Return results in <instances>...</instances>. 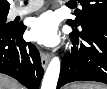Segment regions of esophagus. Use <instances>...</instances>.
Instances as JSON below:
<instances>
[{"label": "esophagus", "instance_id": "1", "mask_svg": "<svg viewBox=\"0 0 107 89\" xmlns=\"http://www.w3.org/2000/svg\"><path fill=\"white\" fill-rule=\"evenodd\" d=\"M51 59V55L49 53L42 52L41 54V64L43 68H46L49 61Z\"/></svg>", "mask_w": 107, "mask_h": 89}]
</instances>
